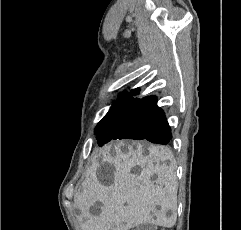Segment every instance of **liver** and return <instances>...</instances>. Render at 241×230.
I'll return each mask as SVG.
<instances>
[{"instance_id":"6515ba94","label":"liver","mask_w":241,"mask_h":230,"mask_svg":"<svg viewBox=\"0 0 241 230\" xmlns=\"http://www.w3.org/2000/svg\"><path fill=\"white\" fill-rule=\"evenodd\" d=\"M119 144L112 151L106 147L97 157L101 163H93L85 179L83 189L74 199V206L85 219L82 230H127L142 223H155L170 228L174 226L177 214L176 162L172 151L163 146H149L148 152L141 145L137 150L128 145V152L121 151ZM106 166L113 177V183L106 187L98 178L97 169ZM142 168L140 175L132 173V168ZM157 175L156 180L152 176ZM169 191V196L165 195ZM101 202L100 214L94 215L90 209ZM160 206V209H157ZM168 211L171 215L168 216Z\"/></svg>"}]
</instances>
